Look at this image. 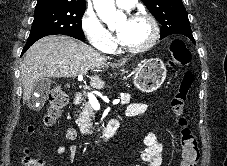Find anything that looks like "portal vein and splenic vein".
I'll use <instances>...</instances> for the list:
<instances>
[{"instance_id":"portal-vein-and-splenic-vein-1","label":"portal vein and splenic vein","mask_w":227,"mask_h":166,"mask_svg":"<svg viewBox=\"0 0 227 166\" xmlns=\"http://www.w3.org/2000/svg\"><path fill=\"white\" fill-rule=\"evenodd\" d=\"M78 81L79 82L83 81V75L82 74L78 75ZM87 96H88L89 103L91 104L92 108L94 110H99L100 104H99L97 98L91 93H87ZM118 103H119V100H116V101L113 102L114 105H116Z\"/></svg>"}]
</instances>
